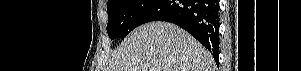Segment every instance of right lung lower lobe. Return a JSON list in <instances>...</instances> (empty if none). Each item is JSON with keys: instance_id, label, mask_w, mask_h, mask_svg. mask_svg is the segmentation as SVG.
<instances>
[{"instance_id": "right-lung-lower-lobe-1", "label": "right lung lower lobe", "mask_w": 301, "mask_h": 71, "mask_svg": "<svg viewBox=\"0 0 301 71\" xmlns=\"http://www.w3.org/2000/svg\"><path fill=\"white\" fill-rule=\"evenodd\" d=\"M156 20L175 23L188 31L211 52L218 63V0H158L144 13L139 25Z\"/></svg>"}]
</instances>
